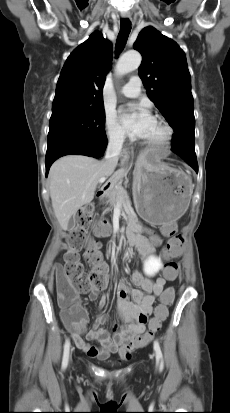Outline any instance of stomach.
Returning <instances> with one entry per match:
<instances>
[{
	"mask_svg": "<svg viewBox=\"0 0 230 413\" xmlns=\"http://www.w3.org/2000/svg\"><path fill=\"white\" fill-rule=\"evenodd\" d=\"M193 193L190 176L150 155L139 159L133 172L137 213L152 225L174 222L187 210Z\"/></svg>",
	"mask_w": 230,
	"mask_h": 413,
	"instance_id": "0dacf381",
	"label": "stomach"
}]
</instances>
